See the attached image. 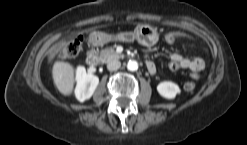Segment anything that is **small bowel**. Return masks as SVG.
Returning <instances> with one entry per match:
<instances>
[{
  "mask_svg": "<svg viewBox=\"0 0 247 145\" xmlns=\"http://www.w3.org/2000/svg\"><path fill=\"white\" fill-rule=\"evenodd\" d=\"M169 67L171 70H189L193 78H198L199 72L205 67V62L200 57L189 58L179 53H174L170 56Z\"/></svg>",
  "mask_w": 247,
  "mask_h": 145,
  "instance_id": "1",
  "label": "small bowel"
}]
</instances>
